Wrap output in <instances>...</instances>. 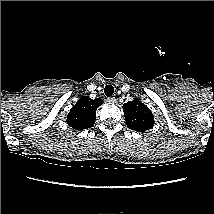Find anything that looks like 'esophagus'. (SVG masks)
<instances>
[{
	"label": "esophagus",
	"mask_w": 214,
	"mask_h": 214,
	"mask_svg": "<svg viewBox=\"0 0 214 214\" xmlns=\"http://www.w3.org/2000/svg\"><path fill=\"white\" fill-rule=\"evenodd\" d=\"M107 101H108L109 103H116V102H117V99H116L115 97H109V98L107 99Z\"/></svg>",
	"instance_id": "34e87169"
}]
</instances>
